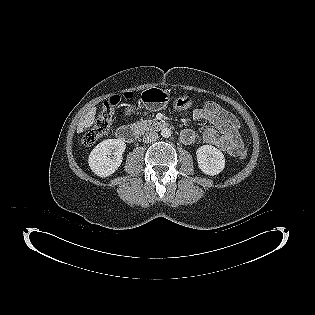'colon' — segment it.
Listing matches in <instances>:
<instances>
[{
  "mask_svg": "<svg viewBox=\"0 0 315 315\" xmlns=\"http://www.w3.org/2000/svg\"><path fill=\"white\" fill-rule=\"evenodd\" d=\"M132 95L125 93L123 95H113L108 98L102 105L98 117L93 125L83 135V143L85 145H93L101 137L105 136L111 129L115 109L123 98L129 99ZM193 104V98L189 95H183L176 98L173 102L174 108L177 110H185ZM238 156L241 160L246 161L250 157L248 150L243 149Z\"/></svg>",
  "mask_w": 315,
  "mask_h": 315,
  "instance_id": "5ec220e1",
  "label": "colon"
}]
</instances>
